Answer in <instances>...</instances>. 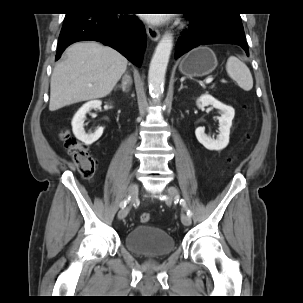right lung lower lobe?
<instances>
[{
    "instance_id": "right-lung-lower-lobe-1",
    "label": "right lung lower lobe",
    "mask_w": 303,
    "mask_h": 303,
    "mask_svg": "<svg viewBox=\"0 0 303 303\" xmlns=\"http://www.w3.org/2000/svg\"><path fill=\"white\" fill-rule=\"evenodd\" d=\"M84 40L102 42L122 53L136 66H141L146 33L144 25L135 16L101 9L66 14L55 60L70 44Z\"/></svg>"
}]
</instances>
